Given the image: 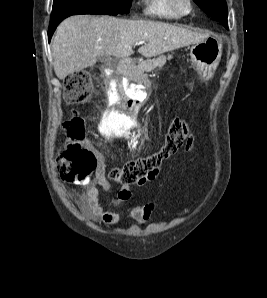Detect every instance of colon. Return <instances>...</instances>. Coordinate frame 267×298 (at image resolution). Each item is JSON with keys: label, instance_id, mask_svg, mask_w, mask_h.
I'll return each instance as SVG.
<instances>
[{"label": "colon", "instance_id": "1", "mask_svg": "<svg viewBox=\"0 0 267 298\" xmlns=\"http://www.w3.org/2000/svg\"><path fill=\"white\" fill-rule=\"evenodd\" d=\"M92 91L90 74L86 71L70 74L64 83L63 96L69 104L87 100ZM66 146L56 157V168L63 180L83 181L97 167L95 152L84 142L85 127L81 118L73 115L63 124ZM193 137L185 119L175 118L167 128L162 146L154 153L130 160L120 167L111 169L108 178L123 185H134L151 178L161 163L179 149L189 150Z\"/></svg>", "mask_w": 267, "mask_h": 298}]
</instances>
